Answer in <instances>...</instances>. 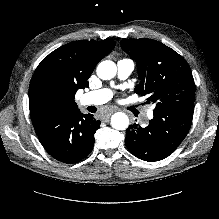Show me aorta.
I'll return each instance as SVG.
<instances>
[{
    "mask_svg": "<svg viewBox=\"0 0 219 219\" xmlns=\"http://www.w3.org/2000/svg\"><path fill=\"white\" fill-rule=\"evenodd\" d=\"M97 75L102 80H110L114 78L117 67L113 61L106 60L99 63L97 67ZM111 126L116 130H125L129 126V118L123 112H117L111 117Z\"/></svg>",
    "mask_w": 219,
    "mask_h": 219,
    "instance_id": "1",
    "label": "aorta"
}]
</instances>
